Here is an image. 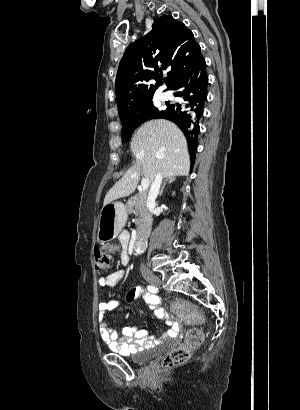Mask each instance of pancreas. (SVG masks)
<instances>
[{
  "label": "pancreas",
  "instance_id": "1",
  "mask_svg": "<svg viewBox=\"0 0 300 410\" xmlns=\"http://www.w3.org/2000/svg\"><path fill=\"white\" fill-rule=\"evenodd\" d=\"M126 208L130 213H134L137 217L136 225L139 235H141L144 228H150L152 220L146 207L145 194H139L131 197L126 204Z\"/></svg>",
  "mask_w": 300,
  "mask_h": 410
}]
</instances>
